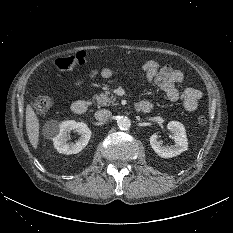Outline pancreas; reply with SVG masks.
Listing matches in <instances>:
<instances>
[{
    "mask_svg": "<svg viewBox=\"0 0 233 233\" xmlns=\"http://www.w3.org/2000/svg\"><path fill=\"white\" fill-rule=\"evenodd\" d=\"M97 101L98 107H103V106H109L111 104L115 105L116 98L111 95L109 91H106L105 93H101L99 95H96L94 97Z\"/></svg>",
    "mask_w": 233,
    "mask_h": 233,
    "instance_id": "obj_1",
    "label": "pancreas"
}]
</instances>
